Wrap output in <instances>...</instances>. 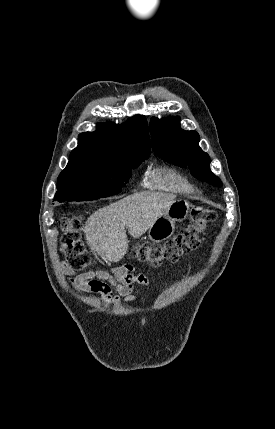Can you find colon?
I'll use <instances>...</instances> for the list:
<instances>
[{"label":"colon","mask_w":275,"mask_h":429,"mask_svg":"<svg viewBox=\"0 0 275 429\" xmlns=\"http://www.w3.org/2000/svg\"><path fill=\"white\" fill-rule=\"evenodd\" d=\"M215 219L214 210L194 205L189 222L177 235L163 244L138 243L134 245L132 255L152 267H159L164 261L175 262L199 246L206 229ZM61 227L63 230L61 252L66 263L73 269L85 268L89 264V259L80 241L81 217L65 216L61 220Z\"/></svg>","instance_id":"5ec220e1"}]
</instances>
